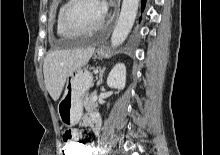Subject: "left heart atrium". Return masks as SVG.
<instances>
[{"instance_id":"obj_1","label":"left heart atrium","mask_w":220,"mask_h":155,"mask_svg":"<svg viewBox=\"0 0 220 155\" xmlns=\"http://www.w3.org/2000/svg\"><path fill=\"white\" fill-rule=\"evenodd\" d=\"M98 2H99L100 8H101L103 14H105L106 13V5H105V3L100 1V0H98Z\"/></svg>"}]
</instances>
